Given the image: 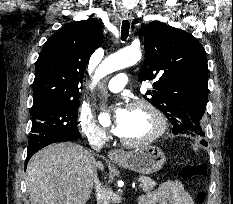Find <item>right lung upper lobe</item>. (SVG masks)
<instances>
[{
    "label": "right lung upper lobe",
    "mask_w": 233,
    "mask_h": 204,
    "mask_svg": "<svg viewBox=\"0 0 233 204\" xmlns=\"http://www.w3.org/2000/svg\"><path fill=\"white\" fill-rule=\"evenodd\" d=\"M102 42L101 26L93 19L70 23L50 36L36 62L33 107L79 100L86 64Z\"/></svg>",
    "instance_id": "cb5924a9"
}]
</instances>
